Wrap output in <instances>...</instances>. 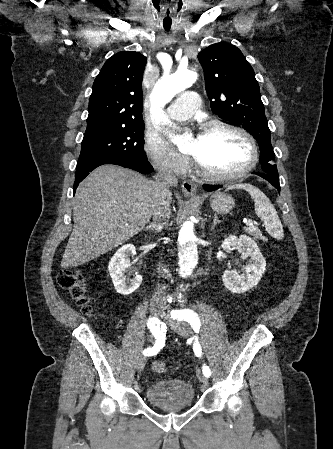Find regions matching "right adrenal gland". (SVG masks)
Instances as JSON below:
<instances>
[{"mask_svg":"<svg viewBox=\"0 0 333 449\" xmlns=\"http://www.w3.org/2000/svg\"><path fill=\"white\" fill-rule=\"evenodd\" d=\"M162 227H163V224L157 223L156 221H154V222L150 223V224L146 227V229H147V230H152V231H154L155 233H157V232H159V231L162 229Z\"/></svg>","mask_w":333,"mask_h":449,"instance_id":"obj_1","label":"right adrenal gland"}]
</instances>
